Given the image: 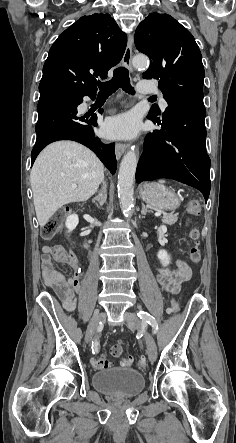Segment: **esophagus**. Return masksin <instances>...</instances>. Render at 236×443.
<instances>
[{"label":"esophagus","mask_w":236,"mask_h":443,"mask_svg":"<svg viewBox=\"0 0 236 443\" xmlns=\"http://www.w3.org/2000/svg\"><path fill=\"white\" fill-rule=\"evenodd\" d=\"M132 45H133V36L129 35L128 41H127V46L125 49V53L122 58V63L130 72H133V67H132V63H131ZM127 147H128V145H126V144L116 143L115 153H116L117 160H119L121 158L123 153L126 151Z\"/></svg>","instance_id":"1"}]
</instances>
